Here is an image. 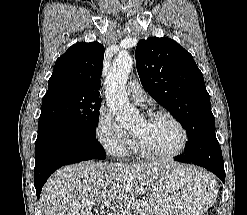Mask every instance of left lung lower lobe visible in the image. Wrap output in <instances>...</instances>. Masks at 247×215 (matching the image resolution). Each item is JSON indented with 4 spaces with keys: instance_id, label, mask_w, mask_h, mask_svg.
<instances>
[{
    "instance_id": "obj_1",
    "label": "left lung lower lobe",
    "mask_w": 247,
    "mask_h": 215,
    "mask_svg": "<svg viewBox=\"0 0 247 215\" xmlns=\"http://www.w3.org/2000/svg\"><path fill=\"white\" fill-rule=\"evenodd\" d=\"M174 160L202 166L213 172L225 183L224 162L217 139L196 141L193 153H184Z\"/></svg>"
}]
</instances>
